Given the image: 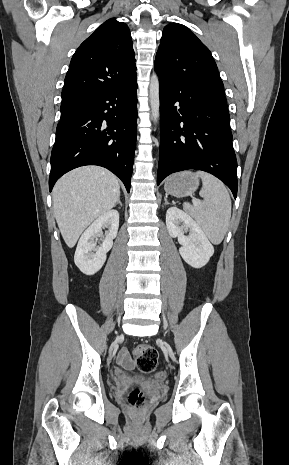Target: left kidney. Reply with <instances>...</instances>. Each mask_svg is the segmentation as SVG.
Listing matches in <instances>:
<instances>
[{
    "label": "left kidney",
    "mask_w": 289,
    "mask_h": 465,
    "mask_svg": "<svg viewBox=\"0 0 289 465\" xmlns=\"http://www.w3.org/2000/svg\"><path fill=\"white\" fill-rule=\"evenodd\" d=\"M166 226L170 236L178 238L181 245L179 253L186 263L194 268H201L208 263L214 248L190 215L177 207H171L166 213Z\"/></svg>",
    "instance_id": "left-kidney-1"
}]
</instances>
